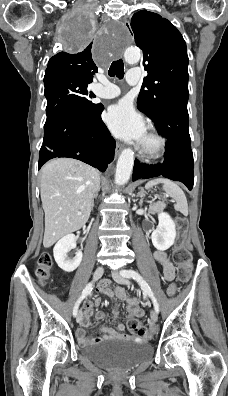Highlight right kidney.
<instances>
[{
  "instance_id": "1",
  "label": "right kidney",
  "mask_w": 228,
  "mask_h": 396,
  "mask_svg": "<svg viewBox=\"0 0 228 396\" xmlns=\"http://www.w3.org/2000/svg\"><path fill=\"white\" fill-rule=\"evenodd\" d=\"M76 246L74 234H68L61 238L53 249V254L58 266L65 272L74 271L82 261V252L77 250L73 258L68 257V252Z\"/></svg>"
}]
</instances>
